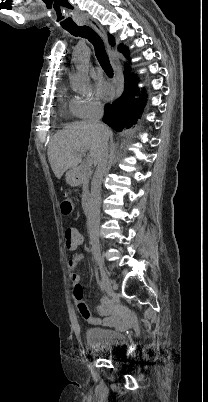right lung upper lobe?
Here are the masks:
<instances>
[{
  "label": "right lung upper lobe",
  "mask_w": 208,
  "mask_h": 402,
  "mask_svg": "<svg viewBox=\"0 0 208 402\" xmlns=\"http://www.w3.org/2000/svg\"><path fill=\"white\" fill-rule=\"evenodd\" d=\"M109 42H110V44H112V45H114L115 44V41H114V37L112 36V35H109ZM123 45H119L118 46V49L121 51L122 49H123Z\"/></svg>",
  "instance_id": "cb5924a9"
}]
</instances>
